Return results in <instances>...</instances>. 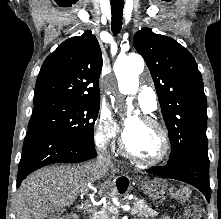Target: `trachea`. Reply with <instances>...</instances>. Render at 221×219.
<instances>
[{"instance_id":"trachea-1","label":"trachea","mask_w":221,"mask_h":219,"mask_svg":"<svg viewBox=\"0 0 221 219\" xmlns=\"http://www.w3.org/2000/svg\"><path fill=\"white\" fill-rule=\"evenodd\" d=\"M123 7L124 3H111V29L113 34L116 36L120 33L122 28V20H123Z\"/></svg>"}]
</instances>
